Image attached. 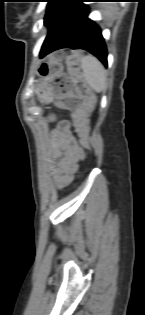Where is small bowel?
Masks as SVG:
<instances>
[{"label": "small bowel", "instance_id": "obj_1", "mask_svg": "<svg viewBox=\"0 0 145 315\" xmlns=\"http://www.w3.org/2000/svg\"><path fill=\"white\" fill-rule=\"evenodd\" d=\"M54 161L52 173L60 186L68 184L84 158V152L71 132L70 124L62 121L52 135Z\"/></svg>", "mask_w": 145, "mask_h": 315}]
</instances>
